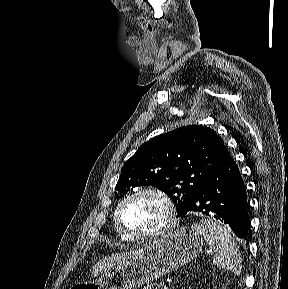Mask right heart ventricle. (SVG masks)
I'll use <instances>...</instances> for the list:
<instances>
[{"label": "right heart ventricle", "instance_id": "1", "mask_svg": "<svg viewBox=\"0 0 288 289\" xmlns=\"http://www.w3.org/2000/svg\"><path fill=\"white\" fill-rule=\"evenodd\" d=\"M126 197L122 198L116 205L115 209H114V212H113V225H114V228H115V231L118 235V237L125 241V242H132L133 239L129 238L128 236H126L121 230L120 228L118 227L117 225V220H116V214H117V210L120 206V204L122 203V201L125 199Z\"/></svg>", "mask_w": 288, "mask_h": 289}]
</instances>
